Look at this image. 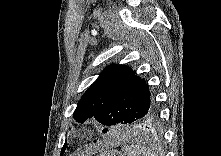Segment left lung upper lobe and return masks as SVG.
<instances>
[{
	"label": "left lung upper lobe",
	"instance_id": "5c2ea615",
	"mask_svg": "<svg viewBox=\"0 0 221 156\" xmlns=\"http://www.w3.org/2000/svg\"><path fill=\"white\" fill-rule=\"evenodd\" d=\"M150 96L145 80L130 67L110 65L81 97L73 116L79 123L94 117L106 126L131 124L156 109Z\"/></svg>",
	"mask_w": 221,
	"mask_h": 156
}]
</instances>
